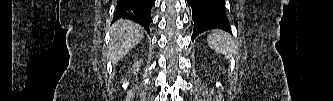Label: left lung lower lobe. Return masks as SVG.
Returning <instances> with one entry per match:
<instances>
[{"label": "left lung lower lobe", "instance_id": "obj_1", "mask_svg": "<svg viewBox=\"0 0 333 101\" xmlns=\"http://www.w3.org/2000/svg\"><path fill=\"white\" fill-rule=\"evenodd\" d=\"M187 2L192 7L194 21L192 40L198 34L216 28L231 33V26L225 13V0H187Z\"/></svg>", "mask_w": 333, "mask_h": 101}]
</instances>
